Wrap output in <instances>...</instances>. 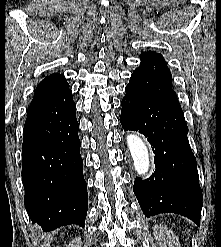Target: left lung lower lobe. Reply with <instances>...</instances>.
Wrapping results in <instances>:
<instances>
[{"instance_id":"0a47b994","label":"left lung lower lobe","mask_w":221,"mask_h":247,"mask_svg":"<svg viewBox=\"0 0 221 247\" xmlns=\"http://www.w3.org/2000/svg\"><path fill=\"white\" fill-rule=\"evenodd\" d=\"M121 101L120 122L125 131L147 137L155 154L150 178L136 177L133 191L146 217L177 213L200 225L202 191L181 107L137 92L129 82Z\"/></svg>"}]
</instances>
